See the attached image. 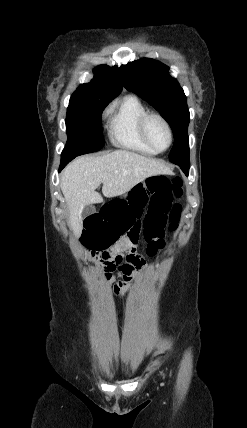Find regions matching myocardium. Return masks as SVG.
Returning <instances> with one entry per match:
<instances>
[{
	"label": "myocardium",
	"mask_w": 247,
	"mask_h": 428,
	"mask_svg": "<svg viewBox=\"0 0 247 428\" xmlns=\"http://www.w3.org/2000/svg\"><path fill=\"white\" fill-rule=\"evenodd\" d=\"M151 119H158L159 121H161L163 123V125L165 126L168 135H169V142L168 145L166 146V148L164 149H159L157 148L153 142L151 141L150 137H149V133H148V124L149 121ZM140 133L142 138L144 139V141L156 152L161 153V152H165L166 150H168L172 143H173V131L171 128V125L169 124V122L167 121V119L162 116L159 113L156 112H147L140 120Z\"/></svg>",
	"instance_id": "myocardium-1"
}]
</instances>
